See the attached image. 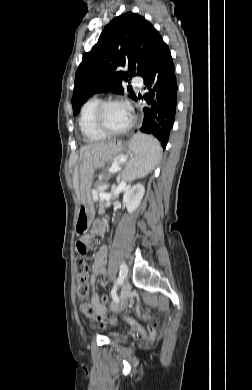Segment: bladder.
I'll use <instances>...</instances> for the list:
<instances>
[{
  "instance_id": "31cf9c89",
  "label": "bladder",
  "mask_w": 252,
  "mask_h": 390,
  "mask_svg": "<svg viewBox=\"0 0 252 390\" xmlns=\"http://www.w3.org/2000/svg\"><path fill=\"white\" fill-rule=\"evenodd\" d=\"M109 336L114 341H120L121 342V341H125L127 339L126 335H124V334H122L120 332H115V331L110 332Z\"/></svg>"
}]
</instances>
